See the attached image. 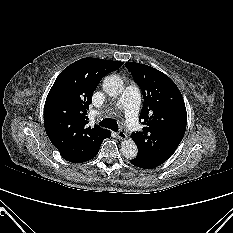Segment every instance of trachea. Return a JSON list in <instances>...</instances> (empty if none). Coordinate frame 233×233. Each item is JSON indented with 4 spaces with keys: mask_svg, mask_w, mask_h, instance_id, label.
Returning <instances> with one entry per match:
<instances>
[{
    "mask_svg": "<svg viewBox=\"0 0 233 233\" xmlns=\"http://www.w3.org/2000/svg\"><path fill=\"white\" fill-rule=\"evenodd\" d=\"M100 126H103V127H106V128H109L113 131H117L118 130V124L115 120L113 119H110V118H106V119H103L100 123H99Z\"/></svg>",
    "mask_w": 233,
    "mask_h": 233,
    "instance_id": "obj_1",
    "label": "trachea"
}]
</instances>
